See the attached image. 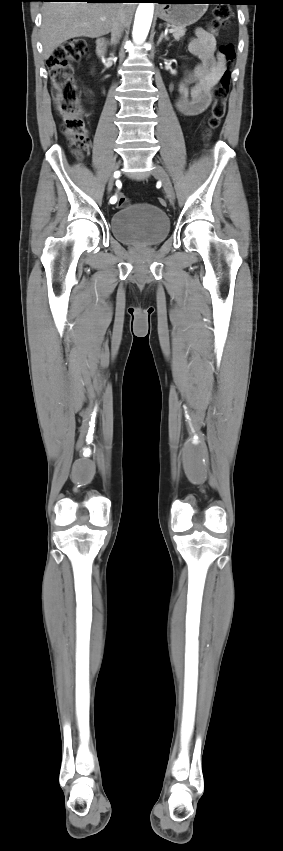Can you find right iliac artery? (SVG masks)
Wrapping results in <instances>:
<instances>
[{
	"instance_id": "82829eb1",
	"label": "right iliac artery",
	"mask_w": 283,
	"mask_h": 851,
	"mask_svg": "<svg viewBox=\"0 0 283 851\" xmlns=\"http://www.w3.org/2000/svg\"><path fill=\"white\" fill-rule=\"evenodd\" d=\"M116 183H117V188H119V190H122V189H123V186H122L121 182H120L118 179L116 180ZM110 202H111L112 204H114V203L116 202V198H115V197H112V198L110 199Z\"/></svg>"
}]
</instances>
